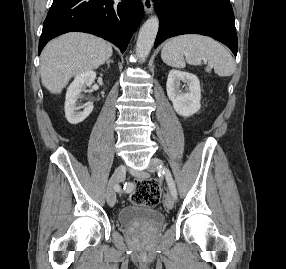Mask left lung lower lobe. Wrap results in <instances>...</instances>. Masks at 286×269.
Wrapping results in <instances>:
<instances>
[{"label":"left lung lower lobe","mask_w":286,"mask_h":269,"mask_svg":"<svg viewBox=\"0 0 286 269\" xmlns=\"http://www.w3.org/2000/svg\"><path fill=\"white\" fill-rule=\"evenodd\" d=\"M160 27L156 48L161 42L181 34L213 37L237 54L238 40L229 0H153Z\"/></svg>","instance_id":"obj_1"}]
</instances>
